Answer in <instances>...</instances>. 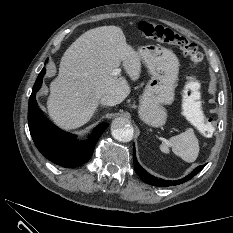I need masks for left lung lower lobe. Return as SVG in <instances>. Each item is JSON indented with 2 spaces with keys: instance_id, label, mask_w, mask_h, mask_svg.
<instances>
[{
  "instance_id": "obj_1",
  "label": "left lung lower lobe",
  "mask_w": 233,
  "mask_h": 233,
  "mask_svg": "<svg viewBox=\"0 0 233 233\" xmlns=\"http://www.w3.org/2000/svg\"><path fill=\"white\" fill-rule=\"evenodd\" d=\"M133 155H134V167L136 173L140 176V178L148 184L154 185V186H170V185H179L182 184L185 181L190 180L192 177L197 175L203 168L204 165L198 166L193 172H191L188 176H186L183 179L176 180V181H165L162 179H158L154 176H151L149 173H147L146 170H144L139 163L137 162L136 159V154H135V147L133 146Z\"/></svg>"
}]
</instances>
